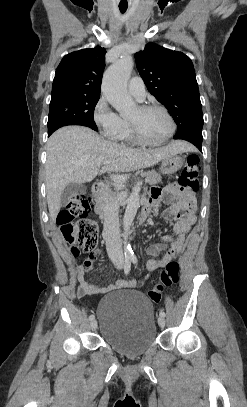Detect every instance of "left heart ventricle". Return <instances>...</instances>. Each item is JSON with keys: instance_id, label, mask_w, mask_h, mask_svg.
I'll return each instance as SVG.
<instances>
[{"instance_id": "1", "label": "left heart ventricle", "mask_w": 247, "mask_h": 407, "mask_svg": "<svg viewBox=\"0 0 247 407\" xmlns=\"http://www.w3.org/2000/svg\"><path fill=\"white\" fill-rule=\"evenodd\" d=\"M128 120L136 124L142 137L148 141H161L170 131V123L160 110L142 111L137 107Z\"/></svg>"}]
</instances>
